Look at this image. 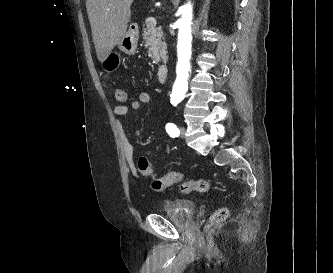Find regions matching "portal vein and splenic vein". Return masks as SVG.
Listing matches in <instances>:
<instances>
[{
	"label": "portal vein and splenic vein",
	"instance_id": "obj_1",
	"mask_svg": "<svg viewBox=\"0 0 333 273\" xmlns=\"http://www.w3.org/2000/svg\"><path fill=\"white\" fill-rule=\"evenodd\" d=\"M147 22L149 23V26H151V27H155L156 26V19L153 18V17H149L147 19Z\"/></svg>",
	"mask_w": 333,
	"mask_h": 273
}]
</instances>
